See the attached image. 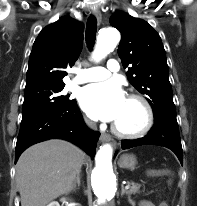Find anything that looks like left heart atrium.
Here are the masks:
<instances>
[{
  "instance_id": "left-heart-atrium-1",
  "label": "left heart atrium",
  "mask_w": 197,
  "mask_h": 206,
  "mask_svg": "<svg viewBox=\"0 0 197 206\" xmlns=\"http://www.w3.org/2000/svg\"><path fill=\"white\" fill-rule=\"evenodd\" d=\"M79 101L92 119L115 122L122 114L126 98L117 81H107L83 88Z\"/></svg>"
}]
</instances>
